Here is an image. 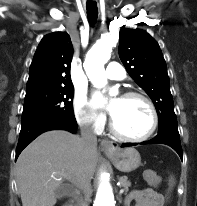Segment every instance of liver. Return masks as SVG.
I'll list each match as a JSON object with an SVG mask.
<instances>
[{"label": "liver", "instance_id": "6515ba94", "mask_svg": "<svg viewBox=\"0 0 197 206\" xmlns=\"http://www.w3.org/2000/svg\"><path fill=\"white\" fill-rule=\"evenodd\" d=\"M98 159L97 147L85 151L81 138L67 131H48L20 154L16 181L23 206H54L63 180L80 187L91 182ZM69 180V179H68Z\"/></svg>", "mask_w": 197, "mask_h": 206}]
</instances>
